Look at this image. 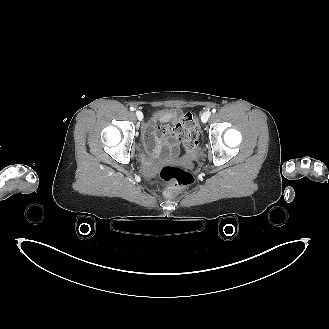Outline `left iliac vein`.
I'll use <instances>...</instances> for the list:
<instances>
[{
	"label": "left iliac vein",
	"mask_w": 329,
	"mask_h": 329,
	"mask_svg": "<svg viewBox=\"0 0 329 329\" xmlns=\"http://www.w3.org/2000/svg\"><path fill=\"white\" fill-rule=\"evenodd\" d=\"M210 115H211V113L209 111L204 112L201 116V121L203 123H206L208 121Z\"/></svg>",
	"instance_id": "1"
}]
</instances>
